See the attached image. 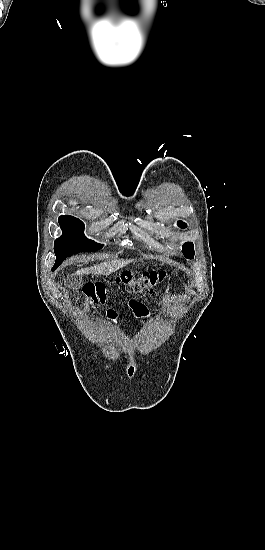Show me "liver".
I'll use <instances>...</instances> for the list:
<instances>
[{"mask_svg": "<svg viewBox=\"0 0 265 550\" xmlns=\"http://www.w3.org/2000/svg\"><path fill=\"white\" fill-rule=\"evenodd\" d=\"M132 260H112V261H106L102 262L98 265H95L93 267H87L83 268L81 270L76 271L74 275L80 276V275H87V274H95V275H110L112 272H115L119 270L120 268L125 267L128 265Z\"/></svg>", "mask_w": 265, "mask_h": 550, "instance_id": "1", "label": "liver"}]
</instances>
